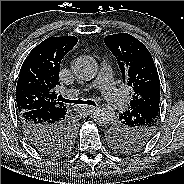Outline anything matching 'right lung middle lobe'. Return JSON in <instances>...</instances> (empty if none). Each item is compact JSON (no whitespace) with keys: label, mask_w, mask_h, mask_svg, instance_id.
<instances>
[{"label":"right lung middle lobe","mask_w":184,"mask_h":184,"mask_svg":"<svg viewBox=\"0 0 184 184\" xmlns=\"http://www.w3.org/2000/svg\"><path fill=\"white\" fill-rule=\"evenodd\" d=\"M73 138H74V129L73 130L68 129L66 131V134L62 138L61 140L62 142L59 146L55 148H45V149H42L41 152L51 156L62 154L70 148L73 142Z\"/></svg>","instance_id":"right-lung-middle-lobe-1"}]
</instances>
